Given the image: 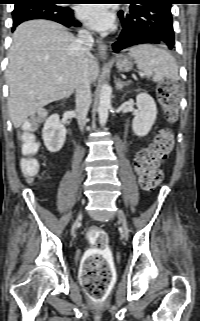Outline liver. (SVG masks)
<instances>
[{
	"instance_id": "6515ba94",
	"label": "liver",
	"mask_w": 200,
	"mask_h": 321,
	"mask_svg": "<svg viewBox=\"0 0 200 321\" xmlns=\"http://www.w3.org/2000/svg\"><path fill=\"white\" fill-rule=\"evenodd\" d=\"M75 40L65 27L52 21L31 20L16 28L6 70L8 109L15 128L37 110L74 92L78 71ZM88 76L90 82L98 77V63L92 54Z\"/></svg>"
}]
</instances>
